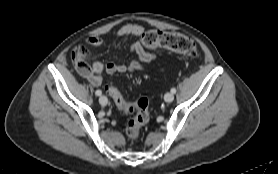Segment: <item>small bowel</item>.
<instances>
[{
    "instance_id": "small-bowel-1",
    "label": "small bowel",
    "mask_w": 278,
    "mask_h": 174,
    "mask_svg": "<svg viewBox=\"0 0 278 174\" xmlns=\"http://www.w3.org/2000/svg\"><path fill=\"white\" fill-rule=\"evenodd\" d=\"M143 32L144 28L141 25L131 23L118 29L116 35L125 41L131 37L141 36L143 35ZM103 43L104 39L101 36H93L86 41V46L98 47ZM130 51L137 56L138 60H133L128 65L113 62L103 64L101 61H94L91 66H79L75 55L76 69L92 86L99 87L102 84V74L104 72L114 74L142 71L144 69L143 63L151 62L156 58V55L152 52L146 51L139 41L132 43Z\"/></svg>"
}]
</instances>
